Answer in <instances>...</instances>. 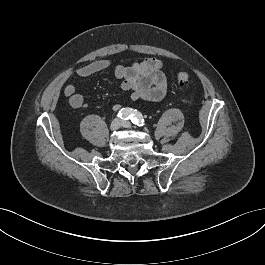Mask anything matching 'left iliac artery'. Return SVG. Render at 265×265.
I'll list each match as a JSON object with an SVG mask.
<instances>
[{
  "instance_id": "left-iliac-artery-1",
  "label": "left iliac artery",
  "mask_w": 265,
  "mask_h": 265,
  "mask_svg": "<svg viewBox=\"0 0 265 265\" xmlns=\"http://www.w3.org/2000/svg\"><path fill=\"white\" fill-rule=\"evenodd\" d=\"M130 120L132 123L138 126L145 125L142 114L137 110H134L133 115L130 117Z\"/></svg>"
}]
</instances>
